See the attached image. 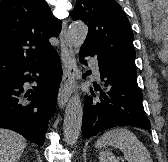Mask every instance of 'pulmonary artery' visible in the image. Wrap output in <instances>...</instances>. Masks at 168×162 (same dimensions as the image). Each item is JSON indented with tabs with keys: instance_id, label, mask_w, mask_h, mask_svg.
Returning <instances> with one entry per match:
<instances>
[{
	"instance_id": "obj_1",
	"label": "pulmonary artery",
	"mask_w": 168,
	"mask_h": 162,
	"mask_svg": "<svg viewBox=\"0 0 168 162\" xmlns=\"http://www.w3.org/2000/svg\"><path fill=\"white\" fill-rule=\"evenodd\" d=\"M90 64H91V66H92V69H93V71H94L95 76H96V77H99V76H100V73H99V64H98V61L95 60V59H92V60L90 61Z\"/></svg>"
}]
</instances>
